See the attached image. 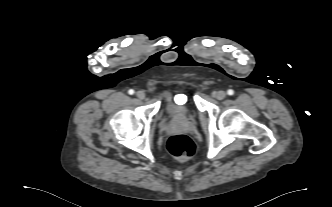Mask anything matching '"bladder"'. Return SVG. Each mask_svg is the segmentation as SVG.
Listing matches in <instances>:
<instances>
[{"label": "bladder", "instance_id": "31cf9c89", "mask_svg": "<svg viewBox=\"0 0 332 207\" xmlns=\"http://www.w3.org/2000/svg\"><path fill=\"white\" fill-rule=\"evenodd\" d=\"M162 113L168 118H184L193 113L190 95L181 90H167L164 93Z\"/></svg>", "mask_w": 332, "mask_h": 207}]
</instances>
